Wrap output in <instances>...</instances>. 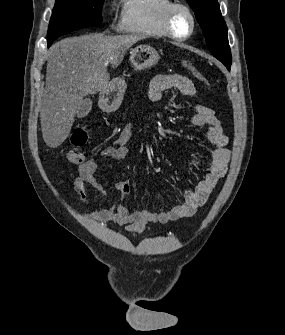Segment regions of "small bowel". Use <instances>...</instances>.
Masks as SVG:
<instances>
[{
    "label": "small bowel",
    "instance_id": "small-bowel-1",
    "mask_svg": "<svg viewBox=\"0 0 285 335\" xmlns=\"http://www.w3.org/2000/svg\"><path fill=\"white\" fill-rule=\"evenodd\" d=\"M171 89H176L189 98L196 95L194 85L189 78L180 74H172L156 77L150 84L148 97L151 101L158 102ZM191 122L198 127H207L206 136L210 143L209 167L199 183L186 191L182 204L167 211L154 212L147 209L130 211L123 204L117 203L108 208L89 210L85 212V215L100 224L113 222L118 225H128V230L136 234L142 233L148 224H163L193 216L197 209L206 203L218 181L225 175L229 150L226 147L228 138L224 134L215 112L210 107L196 104ZM132 132L133 124L125 125L113 144L101 151V156L111 161L124 159L128 153L126 145ZM96 169L97 163L94 160L86 161L79 168V174L74 181V189L83 202H86L87 199V188H92L99 197H104L102 186L96 177ZM116 189L121 195H127L130 183L126 180L120 181L116 184Z\"/></svg>",
    "mask_w": 285,
    "mask_h": 335
}]
</instances>
